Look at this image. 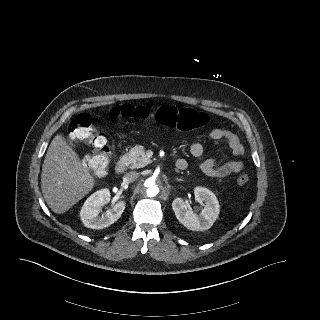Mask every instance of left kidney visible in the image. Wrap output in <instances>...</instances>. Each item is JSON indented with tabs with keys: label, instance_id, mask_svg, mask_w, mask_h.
I'll list each match as a JSON object with an SVG mask.
<instances>
[{
	"label": "left kidney",
	"instance_id": "left-kidney-1",
	"mask_svg": "<svg viewBox=\"0 0 320 320\" xmlns=\"http://www.w3.org/2000/svg\"><path fill=\"white\" fill-rule=\"evenodd\" d=\"M195 200L204 203L200 214H196L182 199L176 198L172 202V209L178 221L192 231H205L211 228L220 212L219 202L213 192L204 187L194 189Z\"/></svg>",
	"mask_w": 320,
	"mask_h": 320
}]
</instances>
